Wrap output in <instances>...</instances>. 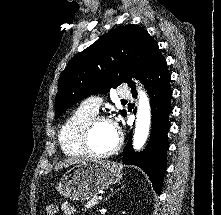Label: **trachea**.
I'll list each match as a JSON object with an SVG mask.
<instances>
[{"instance_id": "3493384b", "label": "trachea", "mask_w": 221, "mask_h": 215, "mask_svg": "<svg viewBox=\"0 0 221 215\" xmlns=\"http://www.w3.org/2000/svg\"><path fill=\"white\" fill-rule=\"evenodd\" d=\"M122 102H123V103H126L127 101H125V100H122Z\"/></svg>"}]
</instances>
